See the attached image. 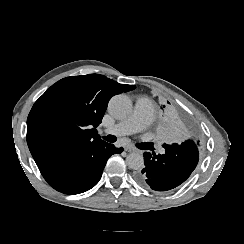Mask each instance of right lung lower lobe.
Here are the masks:
<instances>
[{
  "instance_id": "98d812e1",
  "label": "right lung lower lobe",
  "mask_w": 244,
  "mask_h": 244,
  "mask_svg": "<svg viewBox=\"0 0 244 244\" xmlns=\"http://www.w3.org/2000/svg\"><path fill=\"white\" fill-rule=\"evenodd\" d=\"M105 141L35 159L45 180L59 192L78 194L94 187L102 176L108 158L121 153Z\"/></svg>"
}]
</instances>
